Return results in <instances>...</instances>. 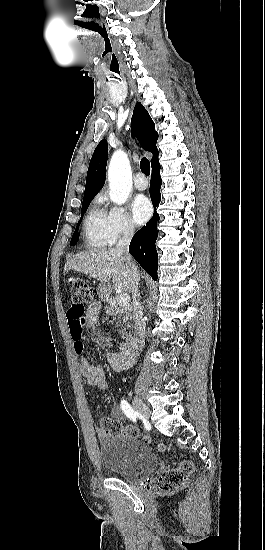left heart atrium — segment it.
I'll use <instances>...</instances> for the list:
<instances>
[{
  "label": "left heart atrium",
  "mask_w": 265,
  "mask_h": 550,
  "mask_svg": "<svg viewBox=\"0 0 265 550\" xmlns=\"http://www.w3.org/2000/svg\"><path fill=\"white\" fill-rule=\"evenodd\" d=\"M131 213L137 224L145 223L152 214V206L148 198L144 195L136 196L131 203Z\"/></svg>",
  "instance_id": "obj_1"
}]
</instances>
